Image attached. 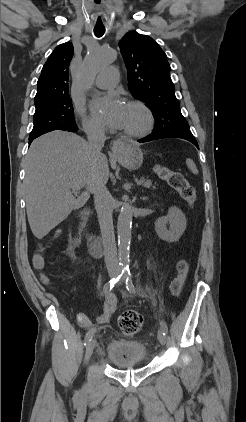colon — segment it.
<instances>
[{
  "instance_id": "colon-1",
  "label": "colon",
  "mask_w": 246,
  "mask_h": 422,
  "mask_svg": "<svg viewBox=\"0 0 246 422\" xmlns=\"http://www.w3.org/2000/svg\"><path fill=\"white\" fill-rule=\"evenodd\" d=\"M155 171L161 179L165 180L170 187L179 193L180 197L187 204L192 205L195 203V188L189 183L182 173L170 170L160 165L156 166ZM34 262L39 268L43 266L42 257L39 255L35 257ZM177 270V276L172 282V292L175 296H179L183 290L189 271L188 262L186 260L180 261L178 263ZM118 324L122 332L128 335H134L142 329L143 318L138 312L134 310H127L120 315Z\"/></svg>"
}]
</instances>
